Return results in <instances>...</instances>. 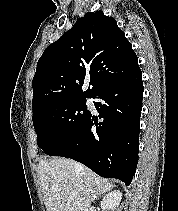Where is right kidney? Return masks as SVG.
<instances>
[{
	"label": "right kidney",
	"mask_w": 178,
	"mask_h": 211,
	"mask_svg": "<svg viewBox=\"0 0 178 211\" xmlns=\"http://www.w3.org/2000/svg\"><path fill=\"white\" fill-rule=\"evenodd\" d=\"M121 199L122 193L119 190L109 192L101 201L102 210L114 211V209L119 206Z\"/></svg>",
	"instance_id": "1"
}]
</instances>
